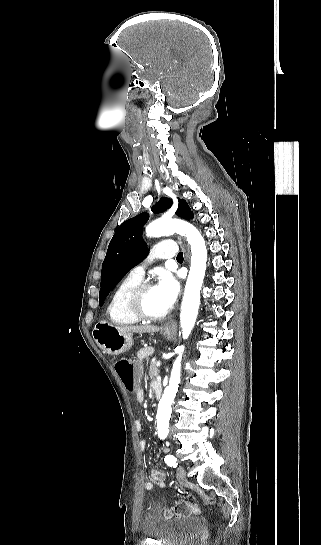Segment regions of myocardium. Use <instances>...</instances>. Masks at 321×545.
I'll return each mask as SVG.
<instances>
[{
	"instance_id": "myocardium-1",
	"label": "myocardium",
	"mask_w": 321,
	"mask_h": 545,
	"mask_svg": "<svg viewBox=\"0 0 321 545\" xmlns=\"http://www.w3.org/2000/svg\"><path fill=\"white\" fill-rule=\"evenodd\" d=\"M152 284L148 282H140L129 290L125 297V311L129 317L137 322H152L159 321L165 318L168 311L162 314H150L141 308L142 295L152 288Z\"/></svg>"
}]
</instances>
